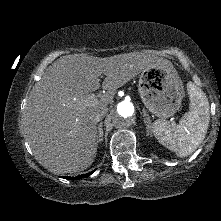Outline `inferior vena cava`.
Wrapping results in <instances>:
<instances>
[{
  "instance_id": "602c4592",
  "label": "inferior vena cava",
  "mask_w": 221,
  "mask_h": 221,
  "mask_svg": "<svg viewBox=\"0 0 221 221\" xmlns=\"http://www.w3.org/2000/svg\"><path fill=\"white\" fill-rule=\"evenodd\" d=\"M108 109L107 107L105 108H102L101 110H99V112L97 113L96 117H95V120L97 122H99L100 120H102L104 118V116L106 115Z\"/></svg>"
}]
</instances>
